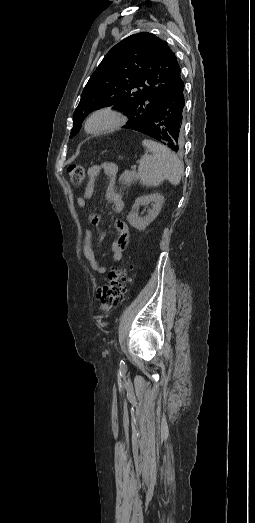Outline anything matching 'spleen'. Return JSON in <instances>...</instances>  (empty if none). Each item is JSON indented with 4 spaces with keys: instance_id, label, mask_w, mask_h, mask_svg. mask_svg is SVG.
Returning a JSON list of instances; mask_svg holds the SVG:
<instances>
[{
    "instance_id": "obj_1",
    "label": "spleen",
    "mask_w": 255,
    "mask_h": 523,
    "mask_svg": "<svg viewBox=\"0 0 255 523\" xmlns=\"http://www.w3.org/2000/svg\"><path fill=\"white\" fill-rule=\"evenodd\" d=\"M142 146L149 154L139 160L138 178L143 186H160L163 180H168L173 186H178L184 172L183 164L178 156L167 146L143 140Z\"/></svg>"
}]
</instances>
